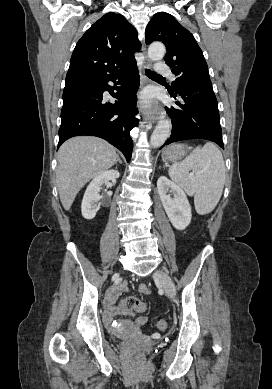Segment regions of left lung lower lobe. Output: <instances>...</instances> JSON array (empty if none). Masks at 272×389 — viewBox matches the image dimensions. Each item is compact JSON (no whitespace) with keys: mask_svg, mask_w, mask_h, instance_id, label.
<instances>
[{"mask_svg":"<svg viewBox=\"0 0 272 389\" xmlns=\"http://www.w3.org/2000/svg\"><path fill=\"white\" fill-rule=\"evenodd\" d=\"M175 91L182 102H175L179 108L167 109L173 127L163 146L186 139H206L224 148L218 103L211 81L183 82ZM170 94L176 99V94Z\"/></svg>","mask_w":272,"mask_h":389,"instance_id":"1","label":"left lung lower lobe"}]
</instances>
